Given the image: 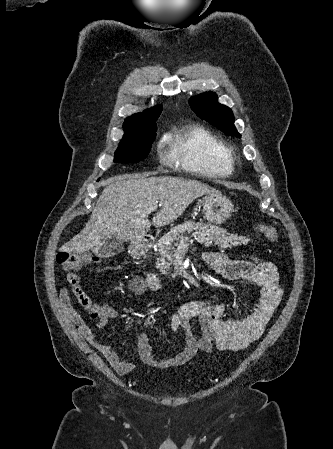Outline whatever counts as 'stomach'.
I'll return each instance as SVG.
<instances>
[{"mask_svg":"<svg viewBox=\"0 0 333 449\" xmlns=\"http://www.w3.org/2000/svg\"><path fill=\"white\" fill-rule=\"evenodd\" d=\"M202 206L204 218L209 226L224 223L234 212V206L231 201L221 193L207 195L202 201ZM142 253V249L134 250V254Z\"/></svg>","mask_w":333,"mask_h":449,"instance_id":"obj_1","label":"stomach"}]
</instances>
